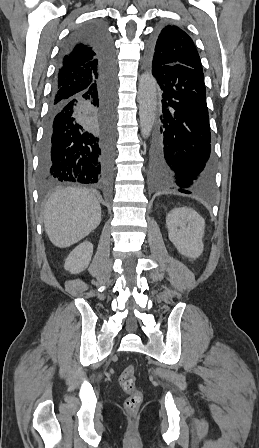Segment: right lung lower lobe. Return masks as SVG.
<instances>
[{"label":"right lung lower lobe","mask_w":259,"mask_h":448,"mask_svg":"<svg viewBox=\"0 0 259 448\" xmlns=\"http://www.w3.org/2000/svg\"><path fill=\"white\" fill-rule=\"evenodd\" d=\"M77 45L93 49L100 77L95 88L55 100L57 71ZM57 71L39 149L40 181L105 183L111 176L115 141V61L107 27L91 24L74 30L62 46Z\"/></svg>","instance_id":"right-lung-lower-lobe-1"}]
</instances>
